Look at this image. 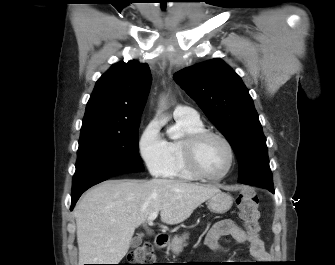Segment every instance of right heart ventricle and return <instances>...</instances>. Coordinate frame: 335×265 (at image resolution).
Segmentation results:
<instances>
[{"instance_id": "right-heart-ventricle-1", "label": "right heart ventricle", "mask_w": 335, "mask_h": 265, "mask_svg": "<svg viewBox=\"0 0 335 265\" xmlns=\"http://www.w3.org/2000/svg\"><path fill=\"white\" fill-rule=\"evenodd\" d=\"M176 123L180 128L184 130L186 137L188 135L205 129L203 123L200 120L189 121L184 119H176ZM184 139L171 140L168 142L170 152V164L164 177L182 181H194L196 180V177L188 170L185 164L183 152Z\"/></svg>"}]
</instances>
